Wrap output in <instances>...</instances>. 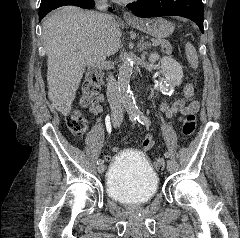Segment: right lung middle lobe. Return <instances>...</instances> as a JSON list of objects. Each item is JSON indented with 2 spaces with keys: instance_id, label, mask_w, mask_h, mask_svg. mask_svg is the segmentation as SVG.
Instances as JSON below:
<instances>
[{
  "instance_id": "obj_1",
  "label": "right lung middle lobe",
  "mask_w": 240,
  "mask_h": 238,
  "mask_svg": "<svg viewBox=\"0 0 240 238\" xmlns=\"http://www.w3.org/2000/svg\"><path fill=\"white\" fill-rule=\"evenodd\" d=\"M58 0H41V4L39 7V13L45 12L52 4L57 2Z\"/></svg>"
}]
</instances>
